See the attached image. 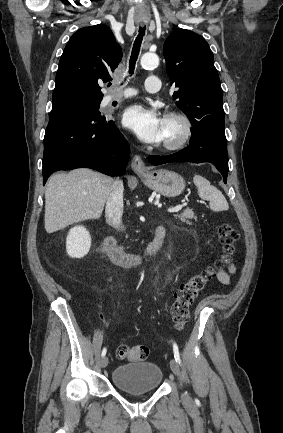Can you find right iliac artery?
<instances>
[{"mask_svg": "<svg viewBox=\"0 0 283 433\" xmlns=\"http://www.w3.org/2000/svg\"><path fill=\"white\" fill-rule=\"evenodd\" d=\"M106 351H107L106 348H104V349L102 350V353H101V356H102V357H104V356L106 355Z\"/></svg>", "mask_w": 283, "mask_h": 433, "instance_id": "obj_1", "label": "right iliac artery"}]
</instances>
